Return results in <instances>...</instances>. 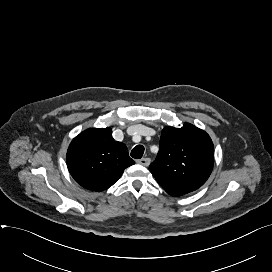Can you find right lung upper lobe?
I'll return each mask as SVG.
<instances>
[{
  "instance_id": "1",
  "label": "right lung upper lobe",
  "mask_w": 272,
  "mask_h": 272,
  "mask_svg": "<svg viewBox=\"0 0 272 272\" xmlns=\"http://www.w3.org/2000/svg\"><path fill=\"white\" fill-rule=\"evenodd\" d=\"M66 161L75 181L97 192L112 186L135 163L126 145L113 139L111 128H90L80 133L72 140Z\"/></svg>"
}]
</instances>
